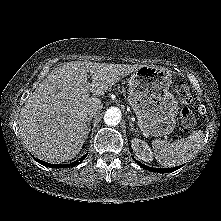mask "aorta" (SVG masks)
Returning <instances> with one entry per match:
<instances>
[{"label":"aorta","instance_id":"obj_1","mask_svg":"<svg viewBox=\"0 0 221 221\" xmlns=\"http://www.w3.org/2000/svg\"><path fill=\"white\" fill-rule=\"evenodd\" d=\"M121 120V111L116 107L109 108L104 114V122L108 126H116Z\"/></svg>","mask_w":221,"mask_h":221}]
</instances>
